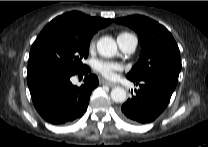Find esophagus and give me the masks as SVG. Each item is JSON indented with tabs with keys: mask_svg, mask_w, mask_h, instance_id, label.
<instances>
[{
	"mask_svg": "<svg viewBox=\"0 0 208 147\" xmlns=\"http://www.w3.org/2000/svg\"><path fill=\"white\" fill-rule=\"evenodd\" d=\"M100 83H101V84H104V85H107V86H109V87H116V86H117L116 83L107 81V80H105V79H101V80H100Z\"/></svg>",
	"mask_w": 208,
	"mask_h": 147,
	"instance_id": "esophagus-1",
	"label": "esophagus"
}]
</instances>
